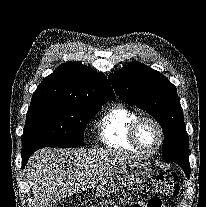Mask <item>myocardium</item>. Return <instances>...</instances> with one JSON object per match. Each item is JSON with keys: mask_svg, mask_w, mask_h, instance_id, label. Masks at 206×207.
<instances>
[{"mask_svg": "<svg viewBox=\"0 0 206 207\" xmlns=\"http://www.w3.org/2000/svg\"><path fill=\"white\" fill-rule=\"evenodd\" d=\"M144 121H150L152 122L158 129L159 135H160V139H159V143L158 145L152 149V150H147L145 148H143L138 140V128L140 126V124ZM129 139L131 144L136 148L137 151H139L142 154L145 155H154L156 154L164 145L165 142V131L164 128L162 126V124L160 123V121H158L156 118L152 117V116H148V115H142V116H138L130 125L129 128Z\"/></svg>", "mask_w": 206, "mask_h": 207, "instance_id": "f54148a6", "label": "myocardium"}]
</instances>
